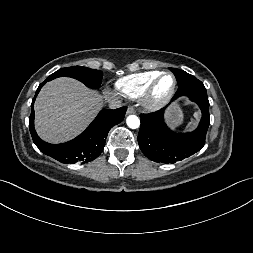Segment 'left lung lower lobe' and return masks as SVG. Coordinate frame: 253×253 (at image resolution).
I'll use <instances>...</instances> for the list:
<instances>
[{
  "instance_id": "1",
  "label": "left lung lower lobe",
  "mask_w": 253,
  "mask_h": 253,
  "mask_svg": "<svg viewBox=\"0 0 253 253\" xmlns=\"http://www.w3.org/2000/svg\"><path fill=\"white\" fill-rule=\"evenodd\" d=\"M186 95L198 104L202 112L199 126L191 133L177 134L164 122V109L141 114L138 143L143 154L158 163H175L198 152L205 144L210 124L209 101L201 81L194 79L189 84L179 86L173 100Z\"/></svg>"
}]
</instances>
